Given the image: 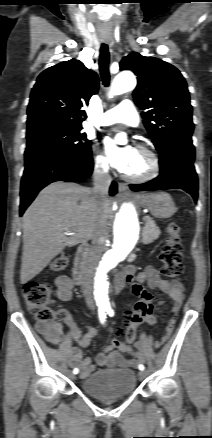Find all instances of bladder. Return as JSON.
Returning <instances> with one entry per match:
<instances>
[{
    "label": "bladder",
    "mask_w": 212,
    "mask_h": 438,
    "mask_svg": "<svg viewBox=\"0 0 212 438\" xmlns=\"http://www.w3.org/2000/svg\"><path fill=\"white\" fill-rule=\"evenodd\" d=\"M80 387L102 399L123 397L134 392L136 374L133 370L123 368L101 370L82 379Z\"/></svg>",
    "instance_id": "bladder-1"
}]
</instances>
